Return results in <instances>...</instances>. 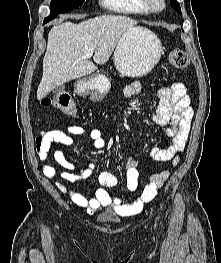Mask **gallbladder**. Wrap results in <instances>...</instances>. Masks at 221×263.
Here are the masks:
<instances>
[{"instance_id":"obj_1","label":"gallbladder","mask_w":221,"mask_h":263,"mask_svg":"<svg viewBox=\"0 0 221 263\" xmlns=\"http://www.w3.org/2000/svg\"><path fill=\"white\" fill-rule=\"evenodd\" d=\"M64 85H59V86H56L53 90H52V92L54 93V94H59V93H61L63 90H64Z\"/></svg>"}]
</instances>
